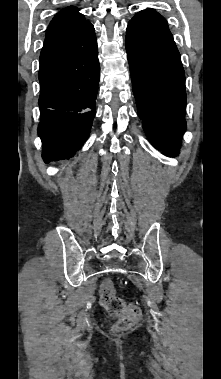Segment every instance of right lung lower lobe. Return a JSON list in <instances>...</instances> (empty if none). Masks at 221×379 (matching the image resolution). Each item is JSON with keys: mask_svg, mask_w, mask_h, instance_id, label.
<instances>
[{"mask_svg": "<svg viewBox=\"0 0 221 379\" xmlns=\"http://www.w3.org/2000/svg\"><path fill=\"white\" fill-rule=\"evenodd\" d=\"M99 78L97 40L89 21L42 48L38 134L46 163L73 157L88 138Z\"/></svg>", "mask_w": 221, "mask_h": 379, "instance_id": "right-lung-lower-lobe-1", "label": "right lung lower lobe"}]
</instances>
